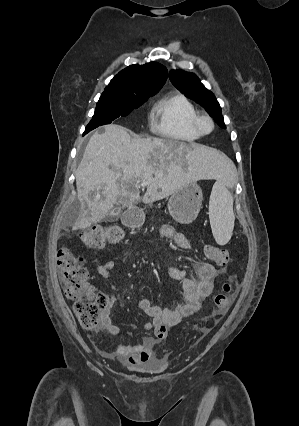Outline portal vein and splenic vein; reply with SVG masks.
<instances>
[{
	"mask_svg": "<svg viewBox=\"0 0 299 426\" xmlns=\"http://www.w3.org/2000/svg\"><path fill=\"white\" fill-rule=\"evenodd\" d=\"M149 184V182H145V181H143V182H141V187H145V186H147Z\"/></svg>",
	"mask_w": 299,
	"mask_h": 426,
	"instance_id": "obj_1",
	"label": "portal vein and splenic vein"
}]
</instances>
